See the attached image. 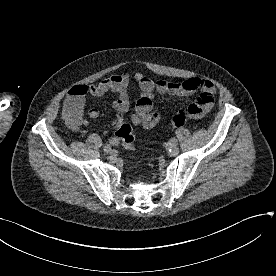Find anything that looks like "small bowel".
Segmentation results:
<instances>
[{"mask_svg": "<svg viewBox=\"0 0 276 276\" xmlns=\"http://www.w3.org/2000/svg\"><path fill=\"white\" fill-rule=\"evenodd\" d=\"M134 78L141 91L140 98L137 102V113L143 123L145 111L140 106L139 101L145 99L153 102L152 93L154 91L174 96H187L199 91L200 94L196 102L191 104L199 109V112L196 113L193 118L202 117L213 106L216 88L213 82L208 79L191 77L181 82H170L166 80L153 81L140 72L136 73ZM129 83L130 75L127 72H123L111 75L98 83H92L88 86L77 85L71 88L63 104L64 116L68 125L72 129H78L81 125H87L88 122L83 119L86 98L89 95L100 97L110 92L117 95V99L113 103L116 113L112 123L114 127H117V125L122 122L123 114L129 109ZM69 113H74L76 115V122H70L67 119L66 115ZM86 113L90 118H96L99 115V111L96 108H89ZM159 118L158 114L157 122ZM144 125L147 126L145 123Z\"/></svg>", "mask_w": 276, "mask_h": 276, "instance_id": "small-bowel-1", "label": "small bowel"}]
</instances>
